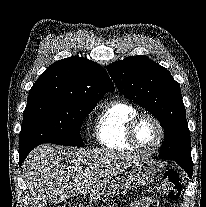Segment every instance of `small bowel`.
<instances>
[{"label":"small bowel","instance_id":"c3829d8e","mask_svg":"<svg viewBox=\"0 0 206 207\" xmlns=\"http://www.w3.org/2000/svg\"><path fill=\"white\" fill-rule=\"evenodd\" d=\"M153 202V199L143 198L141 200H136L132 203L131 207H150V203Z\"/></svg>","mask_w":206,"mask_h":207}]
</instances>
